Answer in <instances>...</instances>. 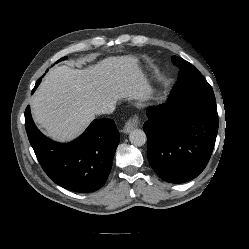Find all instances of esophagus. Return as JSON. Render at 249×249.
I'll return each instance as SVG.
<instances>
[{
    "instance_id": "34e87169",
    "label": "esophagus",
    "mask_w": 249,
    "mask_h": 249,
    "mask_svg": "<svg viewBox=\"0 0 249 249\" xmlns=\"http://www.w3.org/2000/svg\"><path fill=\"white\" fill-rule=\"evenodd\" d=\"M138 123H139L138 117H137V116H134L133 118H130V119L125 123V125H124L122 131H123L124 133L127 134V133L131 132L134 128H136L137 125H138Z\"/></svg>"
}]
</instances>
